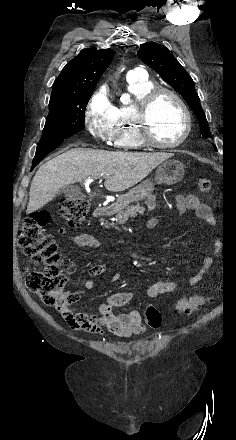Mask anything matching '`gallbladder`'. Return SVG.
<instances>
[{
    "instance_id": "obj_1",
    "label": "gallbladder",
    "mask_w": 236,
    "mask_h": 440,
    "mask_svg": "<svg viewBox=\"0 0 236 440\" xmlns=\"http://www.w3.org/2000/svg\"><path fill=\"white\" fill-rule=\"evenodd\" d=\"M61 193L69 197H77L81 194V191L78 186L67 185L61 189Z\"/></svg>"
}]
</instances>
